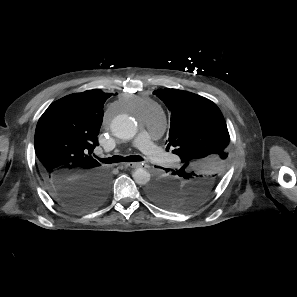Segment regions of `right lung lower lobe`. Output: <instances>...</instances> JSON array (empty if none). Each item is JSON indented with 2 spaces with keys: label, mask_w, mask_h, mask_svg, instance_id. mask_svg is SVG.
Listing matches in <instances>:
<instances>
[{
  "label": "right lung lower lobe",
  "mask_w": 297,
  "mask_h": 297,
  "mask_svg": "<svg viewBox=\"0 0 297 297\" xmlns=\"http://www.w3.org/2000/svg\"><path fill=\"white\" fill-rule=\"evenodd\" d=\"M45 183L56 202L70 211L81 212L91 211L103 203L108 194L109 177L102 170L81 178L54 174Z\"/></svg>",
  "instance_id": "obj_1"
}]
</instances>
